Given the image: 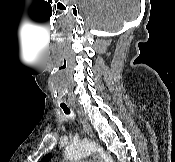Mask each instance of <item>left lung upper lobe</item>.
<instances>
[{
	"label": "left lung upper lobe",
	"instance_id": "1",
	"mask_svg": "<svg viewBox=\"0 0 175 162\" xmlns=\"http://www.w3.org/2000/svg\"><path fill=\"white\" fill-rule=\"evenodd\" d=\"M51 156V154L46 155L40 162H48Z\"/></svg>",
	"mask_w": 175,
	"mask_h": 162
}]
</instances>
